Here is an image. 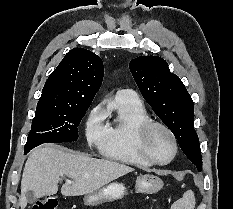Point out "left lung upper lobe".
Masks as SVG:
<instances>
[{
	"label": "left lung upper lobe",
	"instance_id": "obj_1",
	"mask_svg": "<svg viewBox=\"0 0 233 209\" xmlns=\"http://www.w3.org/2000/svg\"><path fill=\"white\" fill-rule=\"evenodd\" d=\"M134 80L156 115L169 127L184 154L202 170L200 143L194 129L193 101L180 78L158 56H140L129 63Z\"/></svg>",
	"mask_w": 233,
	"mask_h": 209
}]
</instances>
